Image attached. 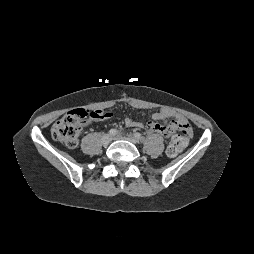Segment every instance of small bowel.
<instances>
[{
	"mask_svg": "<svg viewBox=\"0 0 254 254\" xmlns=\"http://www.w3.org/2000/svg\"><path fill=\"white\" fill-rule=\"evenodd\" d=\"M100 112V116L94 120H104L111 117L110 113ZM124 122L127 127L144 128L147 131L156 132L165 137L172 136L174 123H186L185 119L180 114L174 113L169 108H162L152 115L151 120L145 123L135 121L130 117H126Z\"/></svg>",
	"mask_w": 254,
	"mask_h": 254,
	"instance_id": "c3829d8e",
	"label": "small bowel"
}]
</instances>
